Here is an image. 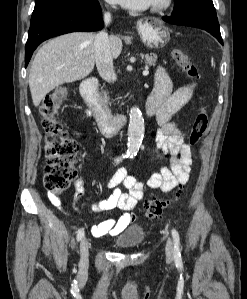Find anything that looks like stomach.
I'll return each instance as SVG.
<instances>
[{
  "mask_svg": "<svg viewBox=\"0 0 247 299\" xmlns=\"http://www.w3.org/2000/svg\"><path fill=\"white\" fill-rule=\"evenodd\" d=\"M138 33L142 42L149 48H162L170 40V31L160 21H144L138 24Z\"/></svg>",
  "mask_w": 247,
  "mask_h": 299,
  "instance_id": "1",
  "label": "stomach"
}]
</instances>
